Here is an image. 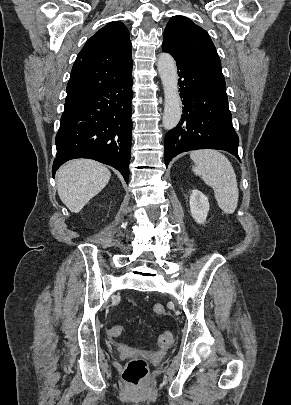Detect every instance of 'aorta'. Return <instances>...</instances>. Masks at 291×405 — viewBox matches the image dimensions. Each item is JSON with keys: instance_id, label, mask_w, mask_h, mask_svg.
Masks as SVG:
<instances>
[{"instance_id": "1", "label": "aorta", "mask_w": 291, "mask_h": 405, "mask_svg": "<svg viewBox=\"0 0 291 405\" xmlns=\"http://www.w3.org/2000/svg\"><path fill=\"white\" fill-rule=\"evenodd\" d=\"M158 72L164 89L163 126L171 130L177 126L182 114L181 99L178 91V75L174 58L161 53L157 62Z\"/></svg>"}]
</instances>
